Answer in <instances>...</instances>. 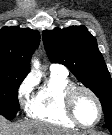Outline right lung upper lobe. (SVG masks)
Wrapping results in <instances>:
<instances>
[{
  "mask_svg": "<svg viewBox=\"0 0 112 135\" xmlns=\"http://www.w3.org/2000/svg\"><path fill=\"white\" fill-rule=\"evenodd\" d=\"M39 42L37 30L18 26L3 27L0 30V75H27L31 55Z\"/></svg>",
  "mask_w": 112,
  "mask_h": 135,
  "instance_id": "obj_1",
  "label": "right lung upper lobe"
}]
</instances>
